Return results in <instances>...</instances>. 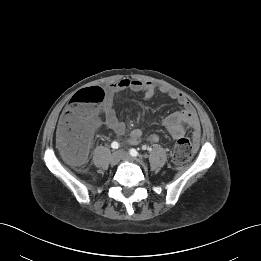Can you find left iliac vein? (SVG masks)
<instances>
[{
    "mask_svg": "<svg viewBox=\"0 0 261 261\" xmlns=\"http://www.w3.org/2000/svg\"><path fill=\"white\" fill-rule=\"evenodd\" d=\"M119 154L120 159L125 160V161H129V162H135L136 159L134 157H132L129 153L120 150L117 152Z\"/></svg>",
    "mask_w": 261,
    "mask_h": 261,
    "instance_id": "1",
    "label": "left iliac vein"
}]
</instances>
